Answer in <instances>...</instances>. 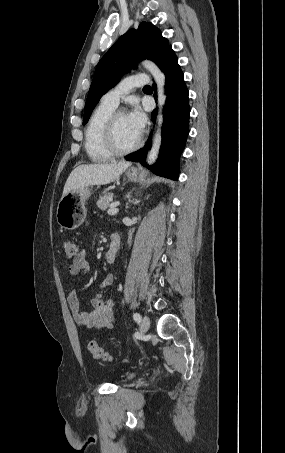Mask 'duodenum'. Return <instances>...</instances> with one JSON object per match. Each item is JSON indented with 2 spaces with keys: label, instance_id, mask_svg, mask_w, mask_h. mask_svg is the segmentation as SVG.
<instances>
[{
  "label": "duodenum",
  "instance_id": "410a0bca",
  "mask_svg": "<svg viewBox=\"0 0 285 453\" xmlns=\"http://www.w3.org/2000/svg\"><path fill=\"white\" fill-rule=\"evenodd\" d=\"M118 249H119V238L113 236V238L111 239V242H110L109 249L107 250V252L105 254V260L107 263L114 262Z\"/></svg>",
  "mask_w": 285,
  "mask_h": 453
}]
</instances>
